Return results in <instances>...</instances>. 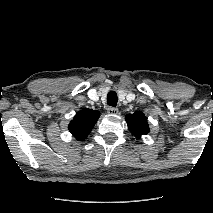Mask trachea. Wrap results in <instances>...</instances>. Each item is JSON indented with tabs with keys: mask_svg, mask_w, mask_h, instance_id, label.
<instances>
[{
	"mask_svg": "<svg viewBox=\"0 0 213 213\" xmlns=\"http://www.w3.org/2000/svg\"><path fill=\"white\" fill-rule=\"evenodd\" d=\"M118 101L117 93L110 91L107 95V104L112 107H116Z\"/></svg>",
	"mask_w": 213,
	"mask_h": 213,
	"instance_id": "obj_1",
	"label": "trachea"
}]
</instances>
